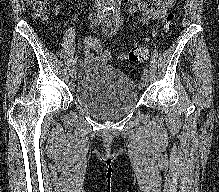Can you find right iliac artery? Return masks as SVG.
Returning <instances> with one entry per match:
<instances>
[{
	"instance_id": "82829eb1",
	"label": "right iliac artery",
	"mask_w": 219,
	"mask_h": 192,
	"mask_svg": "<svg viewBox=\"0 0 219 192\" xmlns=\"http://www.w3.org/2000/svg\"><path fill=\"white\" fill-rule=\"evenodd\" d=\"M115 8V4H109L100 15H95V14H91L90 18H91V23H90V28L94 29L96 28L101 21L103 20V17L110 11H113ZM78 61V57L76 56L73 60H72V64L75 65L76 62Z\"/></svg>"
}]
</instances>
